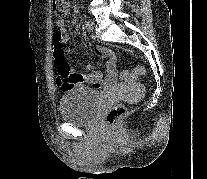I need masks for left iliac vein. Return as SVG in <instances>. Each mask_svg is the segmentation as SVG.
Listing matches in <instances>:
<instances>
[{"label":"left iliac vein","instance_id":"obj_1","mask_svg":"<svg viewBox=\"0 0 207 179\" xmlns=\"http://www.w3.org/2000/svg\"><path fill=\"white\" fill-rule=\"evenodd\" d=\"M95 27H96V24H95V23H92L91 21H89V26H88V28H89L90 30H93V28H95ZM94 37L97 38V37H98V34L95 33V34H94Z\"/></svg>","mask_w":207,"mask_h":179}]
</instances>
